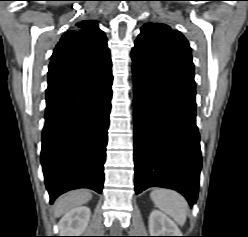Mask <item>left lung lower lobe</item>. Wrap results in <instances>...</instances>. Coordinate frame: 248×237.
<instances>
[{
  "label": "left lung lower lobe",
  "mask_w": 248,
  "mask_h": 237,
  "mask_svg": "<svg viewBox=\"0 0 248 237\" xmlns=\"http://www.w3.org/2000/svg\"><path fill=\"white\" fill-rule=\"evenodd\" d=\"M135 191L164 187L196 203L202 165L196 91L165 83L132 65Z\"/></svg>",
  "instance_id": "obj_1"
}]
</instances>
